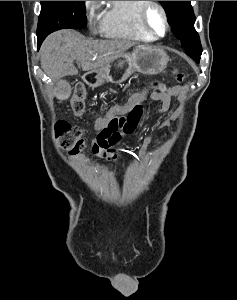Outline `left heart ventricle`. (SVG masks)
<instances>
[{
    "mask_svg": "<svg viewBox=\"0 0 237 300\" xmlns=\"http://www.w3.org/2000/svg\"><path fill=\"white\" fill-rule=\"evenodd\" d=\"M149 22L157 32L162 33L164 31V24L158 10L152 9L150 11Z\"/></svg>",
    "mask_w": 237,
    "mask_h": 300,
    "instance_id": "b2bd125f",
    "label": "left heart ventricle"
}]
</instances>
